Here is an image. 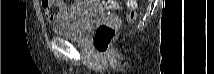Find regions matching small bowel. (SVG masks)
<instances>
[{
    "mask_svg": "<svg viewBox=\"0 0 214 74\" xmlns=\"http://www.w3.org/2000/svg\"><path fill=\"white\" fill-rule=\"evenodd\" d=\"M44 16L48 23H54L57 20V15L53 13V8H59L65 11L69 5L62 1L43 0L41 1Z\"/></svg>",
    "mask_w": 214,
    "mask_h": 74,
    "instance_id": "1",
    "label": "small bowel"
}]
</instances>
